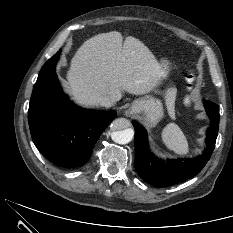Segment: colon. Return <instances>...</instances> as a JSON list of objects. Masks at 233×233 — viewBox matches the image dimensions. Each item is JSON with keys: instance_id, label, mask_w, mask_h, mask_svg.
Instances as JSON below:
<instances>
[{"instance_id": "5ec220e1", "label": "colon", "mask_w": 233, "mask_h": 233, "mask_svg": "<svg viewBox=\"0 0 233 233\" xmlns=\"http://www.w3.org/2000/svg\"><path fill=\"white\" fill-rule=\"evenodd\" d=\"M187 80H188V83H189L190 85H192L193 82H194V80H195V75H194V73H190Z\"/></svg>"}]
</instances>
